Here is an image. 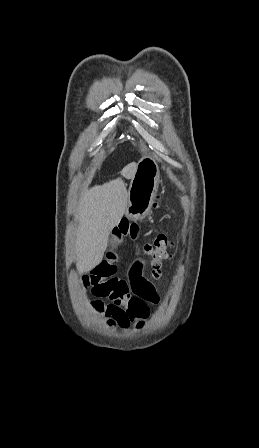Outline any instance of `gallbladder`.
<instances>
[{"label":"gallbladder","mask_w":259,"mask_h":448,"mask_svg":"<svg viewBox=\"0 0 259 448\" xmlns=\"http://www.w3.org/2000/svg\"><path fill=\"white\" fill-rule=\"evenodd\" d=\"M110 242L112 244V248H117V246H119V242H117V240H114V238H111Z\"/></svg>","instance_id":"obj_1"}]
</instances>
